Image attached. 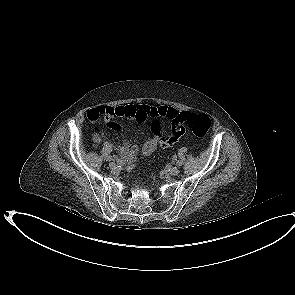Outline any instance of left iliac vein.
I'll return each mask as SVG.
<instances>
[{"instance_id": "left-iliac-vein-1", "label": "left iliac vein", "mask_w": 295, "mask_h": 295, "mask_svg": "<svg viewBox=\"0 0 295 295\" xmlns=\"http://www.w3.org/2000/svg\"><path fill=\"white\" fill-rule=\"evenodd\" d=\"M169 173L173 176L177 175L179 173V169L177 167H172L169 169Z\"/></svg>"}]
</instances>
